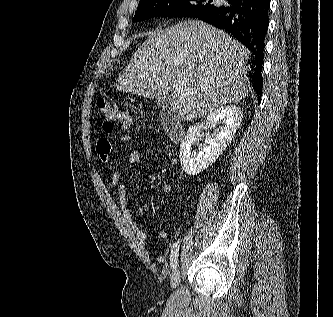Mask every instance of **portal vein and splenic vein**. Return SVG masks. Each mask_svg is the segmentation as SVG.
Wrapping results in <instances>:
<instances>
[{"mask_svg":"<svg viewBox=\"0 0 333 317\" xmlns=\"http://www.w3.org/2000/svg\"><path fill=\"white\" fill-rule=\"evenodd\" d=\"M174 88H175V93H176L178 99H183L186 96V94L184 93L183 88L181 86L176 85V86H174Z\"/></svg>","mask_w":333,"mask_h":317,"instance_id":"1","label":"portal vein and splenic vein"}]
</instances>
